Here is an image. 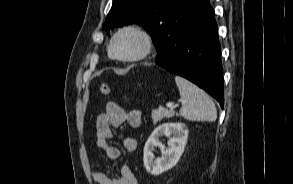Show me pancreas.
Listing matches in <instances>:
<instances>
[{"instance_id":"obj_1","label":"pancreas","mask_w":293,"mask_h":184,"mask_svg":"<svg viewBox=\"0 0 293 184\" xmlns=\"http://www.w3.org/2000/svg\"><path fill=\"white\" fill-rule=\"evenodd\" d=\"M175 115V112L172 110H167L164 108L155 109L152 111V121L153 123H157L161 121L163 118H170Z\"/></svg>"}]
</instances>
